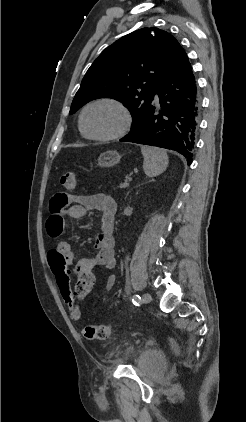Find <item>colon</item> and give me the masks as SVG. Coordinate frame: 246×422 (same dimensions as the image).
I'll return each mask as SVG.
<instances>
[{
    "mask_svg": "<svg viewBox=\"0 0 246 422\" xmlns=\"http://www.w3.org/2000/svg\"><path fill=\"white\" fill-rule=\"evenodd\" d=\"M59 183L66 190H74L76 187L75 174L71 171L64 172L59 178ZM48 262L55 275L62 299L69 309L71 319L80 320L82 302L91 292L95 282L94 272L88 271L79 274L74 290H71L69 264L65 256L56 249H52L48 252ZM82 333L87 339L106 340L111 336V328L108 325L86 326Z\"/></svg>",
    "mask_w": 246,
    "mask_h": 422,
    "instance_id": "1",
    "label": "colon"
}]
</instances>
